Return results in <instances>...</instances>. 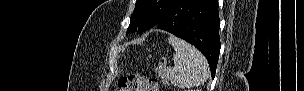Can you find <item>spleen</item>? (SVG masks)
Instances as JSON below:
<instances>
[{
    "mask_svg": "<svg viewBox=\"0 0 304 91\" xmlns=\"http://www.w3.org/2000/svg\"><path fill=\"white\" fill-rule=\"evenodd\" d=\"M168 42L175 50V73H171V83L179 88H190L206 82L209 77V66L201 52L175 36H169Z\"/></svg>",
    "mask_w": 304,
    "mask_h": 91,
    "instance_id": "obj_1",
    "label": "spleen"
}]
</instances>
